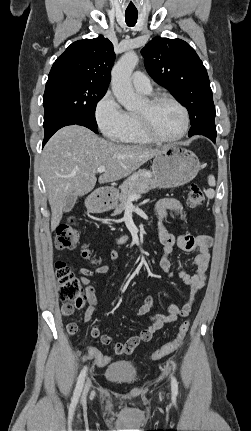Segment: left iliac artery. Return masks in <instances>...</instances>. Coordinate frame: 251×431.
Segmentation results:
<instances>
[{
  "label": "left iliac artery",
  "instance_id": "obj_1",
  "mask_svg": "<svg viewBox=\"0 0 251 431\" xmlns=\"http://www.w3.org/2000/svg\"><path fill=\"white\" fill-rule=\"evenodd\" d=\"M171 389L174 395L178 394V382L173 375L171 376Z\"/></svg>",
  "mask_w": 251,
  "mask_h": 431
}]
</instances>
